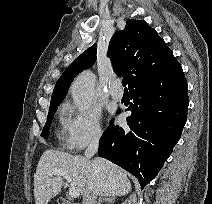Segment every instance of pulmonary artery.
<instances>
[{
	"instance_id": "obj_1",
	"label": "pulmonary artery",
	"mask_w": 212,
	"mask_h": 204,
	"mask_svg": "<svg viewBox=\"0 0 212 204\" xmlns=\"http://www.w3.org/2000/svg\"><path fill=\"white\" fill-rule=\"evenodd\" d=\"M110 95L116 101H120L123 98V91L121 89V82L119 80L113 82L110 89Z\"/></svg>"
}]
</instances>
